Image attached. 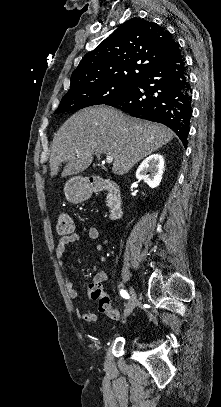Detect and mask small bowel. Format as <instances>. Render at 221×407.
<instances>
[{"label": "small bowel", "instance_id": "c3829d8e", "mask_svg": "<svg viewBox=\"0 0 221 407\" xmlns=\"http://www.w3.org/2000/svg\"><path fill=\"white\" fill-rule=\"evenodd\" d=\"M87 235L88 237L93 240V241H98L100 238V232L96 227H89L87 229ZM80 239V234L77 231H73L70 235L68 236H63L60 240L59 243L57 245L56 248V257L59 261L60 264V268H61V272H62V280H63V284L69 294V297L73 300H76L78 298V292L77 290L73 287L72 282L70 281V279L67 277V275L64 272V268H63V258L67 252V248L70 244H73L77 241H79ZM97 250L101 251L102 250V246L101 245H97L96 246ZM100 260L102 262L106 261V257L104 255L100 256ZM107 279V273L105 271H98L96 272L90 279H85L86 283H90V282H99V283H103L105 280ZM88 298L89 300L95 301L97 299H93L90 297L89 295V290H88ZM76 315L77 317L85 322H93L96 321L98 316L96 313L94 312H84L82 309L77 308L76 309Z\"/></svg>", "mask_w": 221, "mask_h": 407}]
</instances>
